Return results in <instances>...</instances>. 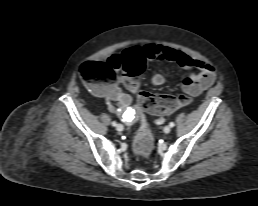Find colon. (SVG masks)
I'll return each instance as SVG.
<instances>
[{
  "label": "colon",
  "mask_w": 258,
  "mask_h": 206,
  "mask_svg": "<svg viewBox=\"0 0 258 206\" xmlns=\"http://www.w3.org/2000/svg\"><path fill=\"white\" fill-rule=\"evenodd\" d=\"M146 59L140 53L129 57L123 64V81L137 98L138 105L145 111L154 114H168L186 106L191 99L187 95L168 96L156 95L140 88L139 77L145 69ZM116 68L108 62H86L80 67V77L87 85L94 89L114 82L117 79ZM154 145V135L148 122L142 118L134 138V152L140 158H148Z\"/></svg>",
  "instance_id": "5ec220e1"
}]
</instances>
